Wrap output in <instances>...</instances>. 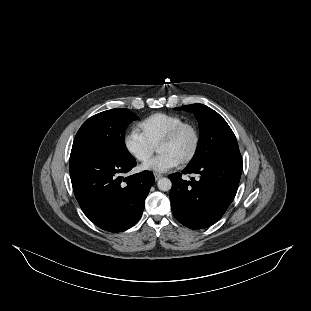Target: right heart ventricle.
I'll return each mask as SVG.
<instances>
[{
  "label": "right heart ventricle",
  "instance_id": "1",
  "mask_svg": "<svg viewBox=\"0 0 311 311\" xmlns=\"http://www.w3.org/2000/svg\"><path fill=\"white\" fill-rule=\"evenodd\" d=\"M184 120L180 115L156 112L140 120L138 127L145 139L155 147L172 128Z\"/></svg>",
  "mask_w": 311,
  "mask_h": 311
}]
</instances>
